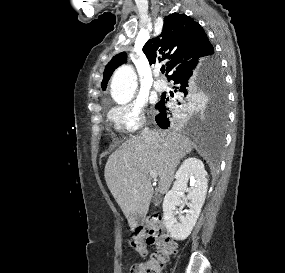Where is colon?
Segmentation results:
<instances>
[{"instance_id":"colon-1","label":"colon","mask_w":285,"mask_h":273,"mask_svg":"<svg viewBox=\"0 0 285 273\" xmlns=\"http://www.w3.org/2000/svg\"><path fill=\"white\" fill-rule=\"evenodd\" d=\"M149 245H155L157 251L148 260L134 266L131 273H162L170 256L176 252L177 244L169 236L161 219H154L149 227L139 229L129 241L130 248L139 255H145Z\"/></svg>"}]
</instances>
